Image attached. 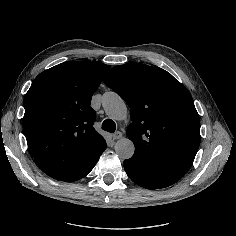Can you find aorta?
I'll return each mask as SVG.
<instances>
[{
    "label": "aorta",
    "mask_w": 236,
    "mask_h": 236,
    "mask_svg": "<svg viewBox=\"0 0 236 236\" xmlns=\"http://www.w3.org/2000/svg\"><path fill=\"white\" fill-rule=\"evenodd\" d=\"M102 105L106 114L115 120H123L127 116V106L124 100L115 92H108L102 96ZM135 146L128 138H121L115 145V152L120 159L133 156Z\"/></svg>",
    "instance_id": "aorta-1"
}]
</instances>
